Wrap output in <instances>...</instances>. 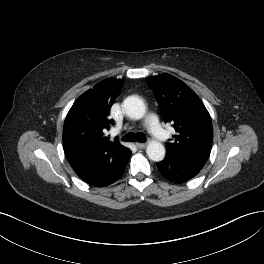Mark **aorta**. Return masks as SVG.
Masks as SVG:
<instances>
[{"label":"aorta","mask_w":264,"mask_h":264,"mask_svg":"<svg viewBox=\"0 0 264 264\" xmlns=\"http://www.w3.org/2000/svg\"><path fill=\"white\" fill-rule=\"evenodd\" d=\"M125 113L132 119L144 117L146 107L144 102L137 96L127 97L122 104ZM146 153L152 161H162L165 157V148L162 143L152 140L148 143Z\"/></svg>","instance_id":"aorta-1"}]
</instances>
